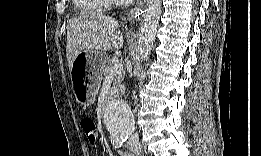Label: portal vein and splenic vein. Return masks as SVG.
<instances>
[{"mask_svg":"<svg viewBox=\"0 0 261 156\" xmlns=\"http://www.w3.org/2000/svg\"><path fill=\"white\" fill-rule=\"evenodd\" d=\"M123 71V66L120 63H116L110 70L109 76H115L121 74Z\"/></svg>","mask_w":261,"mask_h":156,"instance_id":"18ae733b","label":"portal vein and splenic vein"}]
</instances>
